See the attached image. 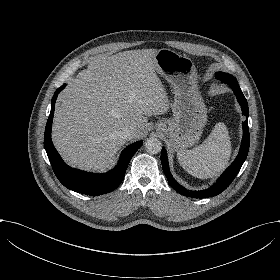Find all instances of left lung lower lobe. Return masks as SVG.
I'll list each match as a JSON object with an SVG mask.
<instances>
[{
	"instance_id": "0a47b994",
	"label": "left lung lower lobe",
	"mask_w": 280,
	"mask_h": 280,
	"mask_svg": "<svg viewBox=\"0 0 280 280\" xmlns=\"http://www.w3.org/2000/svg\"><path fill=\"white\" fill-rule=\"evenodd\" d=\"M223 83L228 84L232 90L234 91L237 100L242 108V113L246 117V120L242 123L243 124V138L242 143L240 147L239 154L237 158L234 160V162L225 170V172L220 176V178L217 180V182L209 189L204 191H189L185 189L183 186L179 185L175 179L172 177L169 166H168V160H167V154L165 149H162L161 152V163L162 168L165 173V176L167 177V180L169 184L180 194L192 198H206L211 197L220 194L222 191H224L230 183L233 181L235 176L238 174L242 164L244 163L248 151H249V143H250V137H249V128H248V115H249V109H248V103L245 99L238 82L235 77L228 75L226 77H223L221 79Z\"/></svg>"
}]
</instances>
